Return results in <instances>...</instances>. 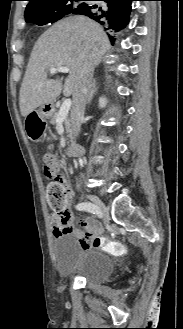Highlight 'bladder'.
<instances>
[{
	"instance_id": "bladder-1",
	"label": "bladder",
	"mask_w": 183,
	"mask_h": 329,
	"mask_svg": "<svg viewBox=\"0 0 183 329\" xmlns=\"http://www.w3.org/2000/svg\"><path fill=\"white\" fill-rule=\"evenodd\" d=\"M52 251L59 274L67 278L100 284L108 279L114 268L109 255L100 249L83 250L73 233L56 237Z\"/></svg>"
}]
</instances>
